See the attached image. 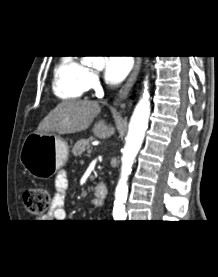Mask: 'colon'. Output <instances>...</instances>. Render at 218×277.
Returning <instances> with one entry per match:
<instances>
[{
    "label": "colon",
    "mask_w": 218,
    "mask_h": 277,
    "mask_svg": "<svg viewBox=\"0 0 218 277\" xmlns=\"http://www.w3.org/2000/svg\"><path fill=\"white\" fill-rule=\"evenodd\" d=\"M23 201L29 214L40 216L49 209L51 194L47 188L31 187L25 190Z\"/></svg>",
    "instance_id": "5ec220e1"
}]
</instances>
